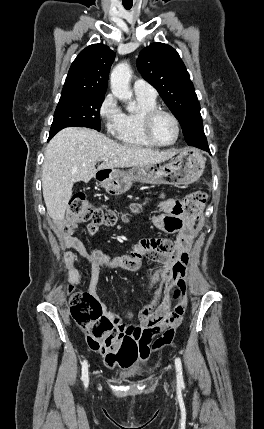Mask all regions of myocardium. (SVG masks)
<instances>
[{"instance_id": "myocardium-1", "label": "myocardium", "mask_w": 264, "mask_h": 429, "mask_svg": "<svg viewBox=\"0 0 264 429\" xmlns=\"http://www.w3.org/2000/svg\"><path fill=\"white\" fill-rule=\"evenodd\" d=\"M159 115H166L168 116L175 124V128H176V135L173 141L169 142V143H162L160 141H158L153 133V124L155 119L159 116ZM143 131L145 136L147 137V139L154 144L155 146H160V147H168V146H172L174 145L177 140L179 139L180 136V123L178 118L175 116V114H173L172 112L156 107L153 108L149 111H147L144 116H143Z\"/></svg>"}]
</instances>
